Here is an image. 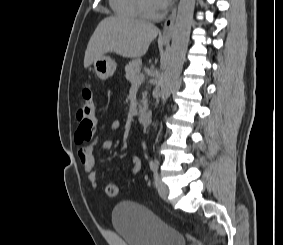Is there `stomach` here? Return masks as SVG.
Listing matches in <instances>:
<instances>
[{
    "instance_id": "stomach-1",
    "label": "stomach",
    "mask_w": 283,
    "mask_h": 245,
    "mask_svg": "<svg viewBox=\"0 0 283 245\" xmlns=\"http://www.w3.org/2000/svg\"><path fill=\"white\" fill-rule=\"evenodd\" d=\"M94 71L99 79L105 80L111 77L117 67L116 62L109 56L103 55L94 62Z\"/></svg>"
}]
</instances>
